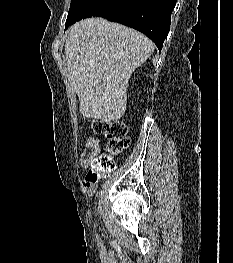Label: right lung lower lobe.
I'll return each instance as SVG.
<instances>
[{
    "label": "right lung lower lobe",
    "instance_id": "obj_1",
    "mask_svg": "<svg viewBox=\"0 0 233 263\" xmlns=\"http://www.w3.org/2000/svg\"><path fill=\"white\" fill-rule=\"evenodd\" d=\"M177 0H123L104 18L134 28L145 35L161 51L168 35L171 14Z\"/></svg>",
    "mask_w": 233,
    "mask_h": 263
}]
</instances>
